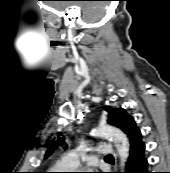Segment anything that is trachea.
<instances>
[{
  "mask_svg": "<svg viewBox=\"0 0 170 173\" xmlns=\"http://www.w3.org/2000/svg\"><path fill=\"white\" fill-rule=\"evenodd\" d=\"M106 158H113L111 155L106 156Z\"/></svg>",
  "mask_w": 170,
  "mask_h": 173,
  "instance_id": "1",
  "label": "trachea"
}]
</instances>
